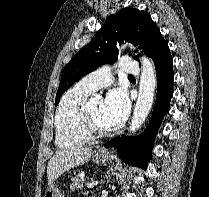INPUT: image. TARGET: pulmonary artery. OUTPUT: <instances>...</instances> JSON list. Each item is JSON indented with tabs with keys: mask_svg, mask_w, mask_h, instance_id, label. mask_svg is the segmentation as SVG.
<instances>
[{
	"mask_svg": "<svg viewBox=\"0 0 209 197\" xmlns=\"http://www.w3.org/2000/svg\"><path fill=\"white\" fill-rule=\"evenodd\" d=\"M120 68L126 74L137 75L139 73L138 66L131 58L123 59ZM111 82V69L108 66H104L83 77L78 84L91 92H95L110 85Z\"/></svg>",
	"mask_w": 209,
	"mask_h": 197,
	"instance_id": "1",
	"label": "pulmonary artery"
}]
</instances>
